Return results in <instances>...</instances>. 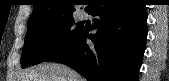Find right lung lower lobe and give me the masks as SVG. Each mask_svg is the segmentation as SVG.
I'll return each instance as SVG.
<instances>
[{
    "mask_svg": "<svg viewBox=\"0 0 169 81\" xmlns=\"http://www.w3.org/2000/svg\"><path fill=\"white\" fill-rule=\"evenodd\" d=\"M89 14L98 16L86 44L83 27L71 42L46 61L70 66L88 81H138L147 37V12L138 0H94Z\"/></svg>",
    "mask_w": 169,
    "mask_h": 81,
    "instance_id": "1",
    "label": "right lung lower lobe"
}]
</instances>
